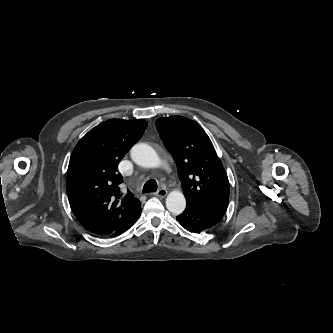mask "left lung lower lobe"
I'll return each mask as SVG.
<instances>
[{
  "instance_id": "left-lung-lower-lobe-1",
  "label": "left lung lower lobe",
  "mask_w": 333,
  "mask_h": 333,
  "mask_svg": "<svg viewBox=\"0 0 333 333\" xmlns=\"http://www.w3.org/2000/svg\"><path fill=\"white\" fill-rule=\"evenodd\" d=\"M223 216V213L202 210L187 202L185 211L176 219L186 230L199 233L216 225Z\"/></svg>"
}]
</instances>
